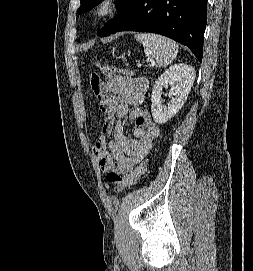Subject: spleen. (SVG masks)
<instances>
[{"label":"spleen","instance_id":"1","mask_svg":"<svg viewBox=\"0 0 253 271\" xmlns=\"http://www.w3.org/2000/svg\"><path fill=\"white\" fill-rule=\"evenodd\" d=\"M134 38L143 45L148 58L155 59L159 67L170 65L178 53L175 41L153 33L136 34Z\"/></svg>","mask_w":253,"mask_h":271}]
</instances>
